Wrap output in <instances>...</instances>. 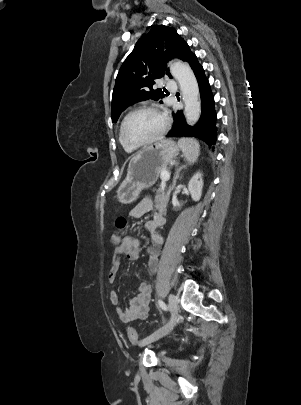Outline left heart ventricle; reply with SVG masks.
Listing matches in <instances>:
<instances>
[{
  "label": "left heart ventricle",
  "mask_w": 301,
  "mask_h": 405,
  "mask_svg": "<svg viewBox=\"0 0 301 405\" xmlns=\"http://www.w3.org/2000/svg\"><path fill=\"white\" fill-rule=\"evenodd\" d=\"M163 126L162 117L152 111L134 114L127 122L126 135L134 142H143L156 136Z\"/></svg>",
  "instance_id": "obj_1"
}]
</instances>
